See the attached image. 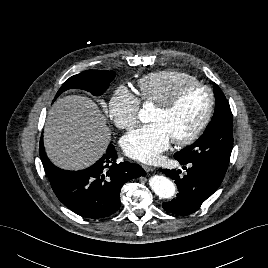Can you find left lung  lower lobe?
<instances>
[{
  "mask_svg": "<svg viewBox=\"0 0 268 268\" xmlns=\"http://www.w3.org/2000/svg\"><path fill=\"white\" fill-rule=\"evenodd\" d=\"M186 165L185 163H181ZM187 174L180 177L176 170H161L172 178L179 190L177 197L163 203V208L170 213L189 215L197 211L201 204L219 187L225 173L218 168L204 163H188ZM186 169V167H183Z\"/></svg>",
  "mask_w": 268,
  "mask_h": 268,
  "instance_id": "1",
  "label": "left lung lower lobe"
}]
</instances>
